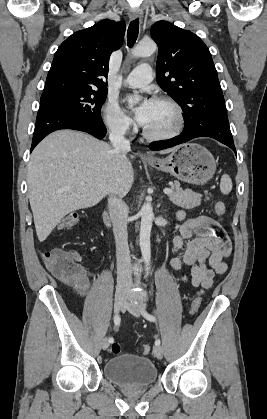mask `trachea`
Masks as SVG:
<instances>
[{
  "label": "trachea",
  "mask_w": 267,
  "mask_h": 419,
  "mask_svg": "<svg viewBox=\"0 0 267 419\" xmlns=\"http://www.w3.org/2000/svg\"><path fill=\"white\" fill-rule=\"evenodd\" d=\"M138 33H139V20L135 19L131 21L128 27V31H127L128 47H132L135 44L138 37Z\"/></svg>",
  "instance_id": "obj_1"
}]
</instances>
